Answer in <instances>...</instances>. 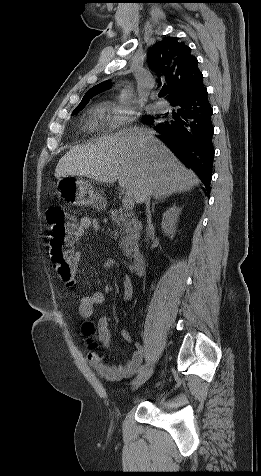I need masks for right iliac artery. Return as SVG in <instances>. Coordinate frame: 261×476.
<instances>
[{"label": "right iliac artery", "instance_id": "82829eb1", "mask_svg": "<svg viewBox=\"0 0 261 476\" xmlns=\"http://www.w3.org/2000/svg\"><path fill=\"white\" fill-rule=\"evenodd\" d=\"M146 366H147V365H142V366L138 369V373L143 372V371L146 369Z\"/></svg>", "mask_w": 261, "mask_h": 476}]
</instances>
